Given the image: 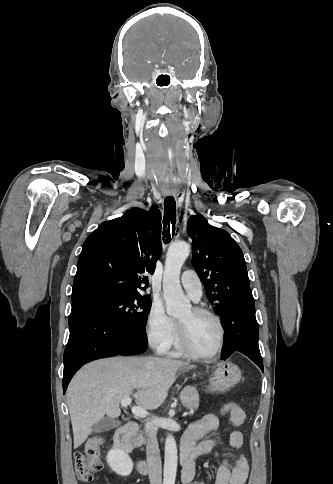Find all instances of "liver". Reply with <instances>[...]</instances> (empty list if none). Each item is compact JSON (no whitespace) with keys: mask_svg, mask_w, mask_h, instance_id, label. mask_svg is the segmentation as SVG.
Segmentation results:
<instances>
[{"mask_svg":"<svg viewBox=\"0 0 333 484\" xmlns=\"http://www.w3.org/2000/svg\"><path fill=\"white\" fill-rule=\"evenodd\" d=\"M194 368L188 362L159 357H114L85 365L66 393L74 448L87 439L94 424L105 415L120 416L122 399L133 395L138 407L157 409L165 401L177 371Z\"/></svg>","mask_w":333,"mask_h":484,"instance_id":"1","label":"liver"}]
</instances>
